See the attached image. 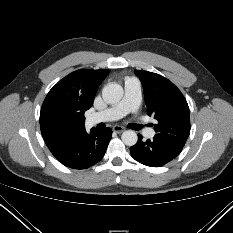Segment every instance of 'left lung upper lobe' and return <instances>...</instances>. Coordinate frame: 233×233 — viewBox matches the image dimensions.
Masks as SVG:
<instances>
[{"label":"left lung upper lobe","mask_w":233,"mask_h":233,"mask_svg":"<svg viewBox=\"0 0 233 233\" xmlns=\"http://www.w3.org/2000/svg\"><path fill=\"white\" fill-rule=\"evenodd\" d=\"M134 72L143 85L147 114L153 115L158 121L154 127V138L183 148L190 134L189 107L186 99L165 77L148 71Z\"/></svg>","instance_id":"5c2ea615"}]
</instances>
